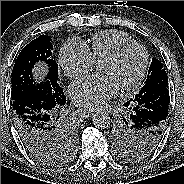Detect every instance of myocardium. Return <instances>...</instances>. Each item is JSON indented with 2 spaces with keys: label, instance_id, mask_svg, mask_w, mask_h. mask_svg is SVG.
I'll list each match as a JSON object with an SVG mask.
<instances>
[{
  "label": "myocardium",
  "instance_id": "1",
  "mask_svg": "<svg viewBox=\"0 0 184 184\" xmlns=\"http://www.w3.org/2000/svg\"><path fill=\"white\" fill-rule=\"evenodd\" d=\"M132 49H136L141 53L142 64H141V67L138 73L135 75V77L129 82H126L120 86L122 90H131L137 87L140 84V82L143 80L147 72L148 66H149V54L146 48L136 42L124 44L120 46L119 48H117L113 53L104 57L100 61V62L114 63L118 61L127 51L132 50Z\"/></svg>",
  "mask_w": 184,
  "mask_h": 184
}]
</instances>
